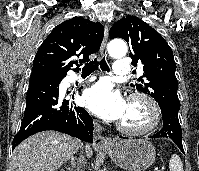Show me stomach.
<instances>
[{"mask_svg": "<svg viewBox=\"0 0 199 171\" xmlns=\"http://www.w3.org/2000/svg\"><path fill=\"white\" fill-rule=\"evenodd\" d=\"M113 162L127 171H144L155 161L156 152L147 139H119L101 148Z\"/></svg>", "mask_w": 199, "mask_h": 171, "instance_id": "0dacf381", "label": "stomach"}]
</instances>
